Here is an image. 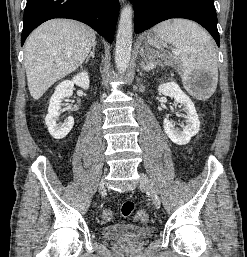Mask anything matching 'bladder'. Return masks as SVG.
I'll return each instance as SVG.
<instances>
[{
  "label": "bladder",
  "mask_w": 247,
  "mask_h": 257,
  "mask_svg": "<svg viewBox=\"0 0 247 257\" xmlns=\"http://www.w3.org/2000/svg\"><path fill=\"white\" fill-rule=\"evenodd\" d=\"M101 234L104 239L123 244H139L153 235L152 228L132 224H113L105 226Z\"/></svg>",
  "instance_id": "bladder-1"
}]
</instances>
